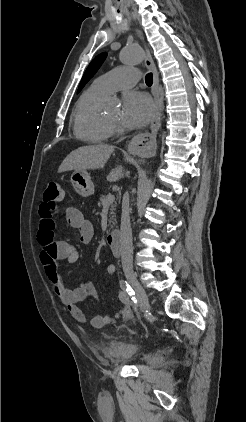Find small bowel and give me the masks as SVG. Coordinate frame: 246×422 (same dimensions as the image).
Segmentation results:
<instances>
[{"mask_svg": "<svg viewBox=\"0 0 246 422\" xmlns=\"http://www.w3.org/2000/svg\"><path fill=\"white\" fill-rule=\"evenodd\" d=\"M55 211L44 203L40 206V222L38 230V241L41 246V260L44 265L46 275L61 303L67 308L70 315L79 322H86V316L79 308L78 304L88 297L96 298L98 295L96 287L90 282H83L79 286L70 289L65 286L58 262L66 260L69 264H74L79 258L76 248L66 241L55 239ZM65 220L76 229L82 243H89L94 236L92 224L84 217L82 212L74 207H69L65 211ZM115 266L108 264L107 274H115ZM117 301L120 309L113 315H94L88 323L94 328H102L114 323L117 318L127 319L131 315V303L126 292L119 290Z\"/></svg>", "mask_w": 246, "mask_h": 422, "instance_id": "small-bowel-1", "label": "small bowel"}]
</instances>
